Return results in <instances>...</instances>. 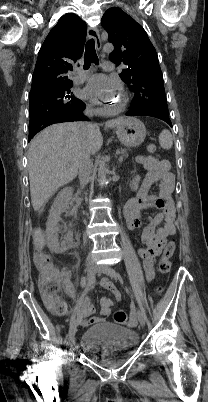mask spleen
<instances>
[{
	"label": "spleen",
	"instance_id": "1",
	"mask_svg": "<svg viewBox=\"0 0 208 402\" xmlns=\"http://www.w3.org/2000/svg\"><path fill=\"white\" fill-rule=\"evenodd\" d=\"M159 144L161 148L164 150H170L173 146V138L171 132L169 130H162L159 136Z\"/></svg>",
	"mask_w": 208,
	"mask_h": 402
}]
</instances>
